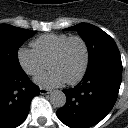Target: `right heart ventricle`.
Masks as SVG:
<instances>
[{"label":"right heart ventricle","instance_id":"e07e8e85","mask_svg":"<svg viewBox=\"0 0 128 128\" xmlns=\"http://www.w3.org/2000/svg\"><path fill=\"white\" fill-rule=\"evenodd\" d=\"M68 37H70L68 34H45L35 39L31 45L39 57L47 63Z\"/></svg>","mask_w":128,"mask_h":128}]
</instances>
